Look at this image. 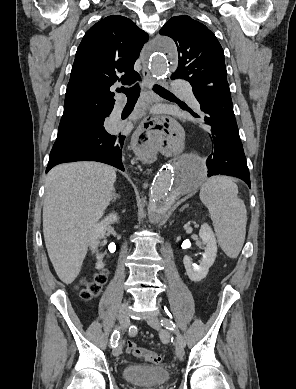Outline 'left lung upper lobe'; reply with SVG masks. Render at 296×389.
Masks as SVG:
<instances>
[{"instance_id":"1","label":"left lung upper lobe","mask_w":296,"mask_h":389,"mask_svg":"<svg viewBox=\"0 0 296 389\" xmlns=\"http://www.w3.org/2000/svg\"><path fill=\"white\" fill-rule=\"evenodd\" d=\"M159 33L177 45L179 63L172 79H186L192 87L228 84L223 49L205 25L187 15L175 16Z\"/></svg>"}]
</instances>
